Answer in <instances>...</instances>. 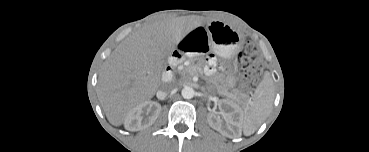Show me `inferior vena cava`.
<instances>
[{
  "label": "inferior vena cava",
  "instance_id": "inferior-vena-cava-1",
  "mask_svg": "<svg viewBox=\"0 0 369 152\" xmlns=\"http://www.w3.org/2000/svg\"><path fill=\"white\" fill-rule=\"evenodd\" d=\"M177 88V84L175 82L171 81H165L162 83L160 87V93L162 98H165L166 95L173 92Z\"/></svg>",
  "mask_w": 369,
  "mask_h": 152
}]
</instances>
